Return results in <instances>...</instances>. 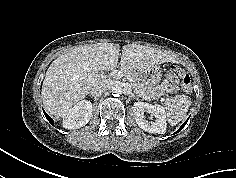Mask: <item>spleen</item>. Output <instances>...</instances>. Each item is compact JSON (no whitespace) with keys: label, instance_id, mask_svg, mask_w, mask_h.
Wrapping results in <instances>:
<instances>
[{"label":"spleen","instance_id":"spleen-1","mask_svg":"<svg viewBox=\"0 0 236 178\" xmlns=\"http://www.w3.org/2000/svg\"><path fill=\"white\" fill-rule=\"evenodd\" d=\"M191 104V98L185 95H175L171 98H167L165 102V109L167 111L168 123L172 126L181 122Z\"/></svg>","mask_w":236,"mask_h":178}]
</instances>
